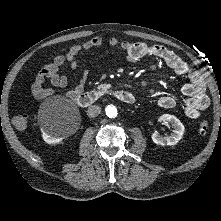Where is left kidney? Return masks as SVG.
I'll return each mask as SVG.
<instances>
[{
	"label": "left kidney",
	"instance_id": "left-kidney-1",
	"mask_svg": "<svg viewBox=\"0 0 221 221\" xmlns=\"http://www.w3.org/2000/svg\"><path fill=\"white\" fill-rule=\"evenodd\" d=\"M159 121L170 122L174 128L173 132L169 136H161L157 131L152 134V140L158 145H175L177 144L184 134V125L180 120L170 114H163L159 117Z\"/></svg>",
	"mask_w": 221,
	"mask_h": 221
}]
</instances>
